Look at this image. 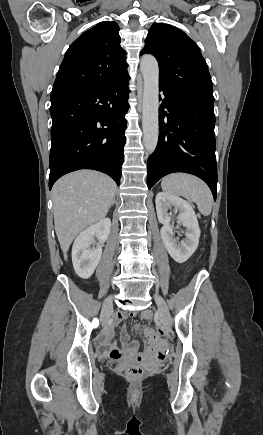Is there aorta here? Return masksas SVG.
I'll list each match as a JSON object with an SVG mask.
<instances>
[{
	"label": "aorta",
	"instance_id": "obj_1",
	"mask_svg": "<svg viewBox=\"0 0 263 435\" xmlns=\"http://www.w3.org/2000/svg\"><path fill=\"white\" fill-rule=\"evenodd\" d=\"M140 70L143 76L142 127L143 144L147 153L155 151L159 135V66L152 55L141 58Z\"/></svg>",
	"mask_w": 263,
	"mask_h": 435
}]
</instances>
